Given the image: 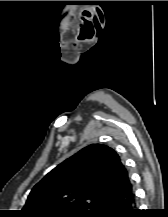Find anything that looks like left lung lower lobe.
<instances>
[{
	"label": "left lung lower lobe",
	"mask_w": 168,
	"mask_h": 217,
	"mask_svg": "<svg viewBox=\"0 0 168 217\" xmlns=\"http://www.w3.org/2000/svg\"><path fill=\"white\" fill-rule=\"evenodd\" d=\"M138 214L132 184L129 182L105 202L97 217H138Z\"/></svg>",
	"instance_id": "obj_1"
}]
</instances>
